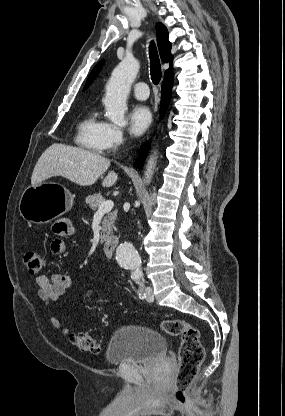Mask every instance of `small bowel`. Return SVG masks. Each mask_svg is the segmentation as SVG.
Returning a JSON list of instances; mask_svg holds the SVG:
<instances>
[{"label":"small bowel","instance_id":"obj_1","mask_svg":"<svg viewBox=\"0 0 285 416\" xmlns=\"http://www.w3.org/2000/svg\"><path fill=\"white\" fill-rule=\"evenodd\" d=\"M53 232L57 236L50 244V251L54 255H61L66 251V244L62 237H67L75 232V228L69 220H59L53 225ZM37 285V296L47 307L51 302L60 299L65 295L71 286V278L63 273H55L50 277L40 275L35 278ZM50 323L59 332L67 335L69 329L64 327L61 322L53 315L49 317Z\"/></svg>","mask_w":285,"mask_h":416}]
</instances>
